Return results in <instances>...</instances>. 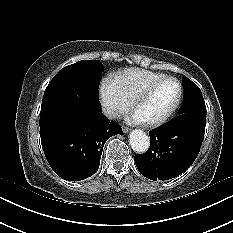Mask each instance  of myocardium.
I'll list each match as a JSON object with an SVG mask.
<instances>
[{
    "label": "myocardium",
    "mask_w": 233,
    "mask_h": 233,
    "mask_svg": "<svg viewBox=\"0 0 233 233\" xmlns=\"http://www.w3.org/2000/svg\"><path fill=\"white\" fill-rule=\"evenodd\" d=\"M163 81H172L175 83L176 88H177V94H176V98L174 100V102L172 103V105L170 106V108L159 118L154 119V120H149V121H144V125L145 126H149V127H157L162 125L163 123H165L176 111V109L178 108L180 102H181V98H182V86L181 83L178 81V79H176L175 77L172 76H161L153 81H151L150 83H148L143 89H141L134 97H133V102H132V106L133 109L135 110L138 103L144 99L149 92L152 90V88L157 85L160 82Z\"/></svg>",
    "instance_id": "1"
}]
</instances>
